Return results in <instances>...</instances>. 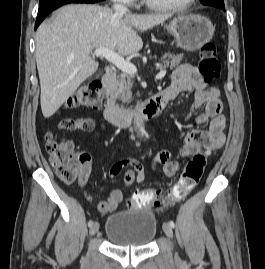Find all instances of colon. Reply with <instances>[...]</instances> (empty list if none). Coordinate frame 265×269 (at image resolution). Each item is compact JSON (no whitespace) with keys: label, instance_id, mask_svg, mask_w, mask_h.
<instances>
[{"label":"colon","instance_id":"colon-1","mask_svg":"<svg viewBox=\"0 0 265 269\" xmlns=\"http://www.w3.org/2000/svg\"><path fill=\"white\" fill-rule=\"evenodd\" d=\"M198 70L205 81L212 82L219 78L221 65L216 55L213 43H206L198 58ZM103 89L99 82L93 81L73 93L67 101V108L86 107L99 110L102 104ZM89 124L84 118L66 119L60 123L63 130H85ZM46 150L57 177L66 184L79 179L82 157L78 155L72 142L64 138H56L51 134L46 136ZM207 164L205 153L193 156L186 164L178 181L168 194L159 190L145 189L136 191L129 199L131 208L159 207L166 201L184 199L199 183Z\"/></svg>","mask_w":265,"mask_h":269}]
</instances>
